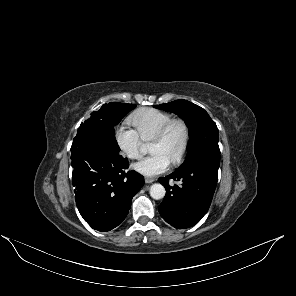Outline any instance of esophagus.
Masks as SVG:
<instances>
[{
	"label": "esophagus",
	"instance_id": "1",
	"mask_svg": "<svg viewBox=\"0 0 296 296\" xmlns=\"http://www.w3.org/2000/svg\"><path fill=\"white\" fill-rule=\"evenodd\" d=\"M154 181H155L154 178H150V177L145 178V183H147V184L153 183Z\"/></svg>",
	"mask_w": 296,
	"mask_h": 296
}]
</instances>
